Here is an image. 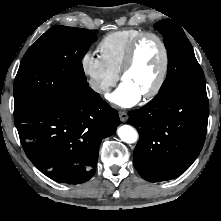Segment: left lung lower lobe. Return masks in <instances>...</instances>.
<instances>
[{
  "mask_svg": "<svg viewBox=\"0 0 221 221\" xmlns=\"http://www.w3.org/2000/svg\"><path fill=\"white\" fill-rule=\"evenodd\" d=\"M140 137L134 166L142 178L159 182L178 177L198 157L209 116L206 91L171 87L128 113Z\"/></svg>",
  "mask_w": 221,
  "mask_h": 221,
  "instance_id": "left-lung-lower-lobe-1",
  "label": "left lung lower lobe"
}]
</instances>
